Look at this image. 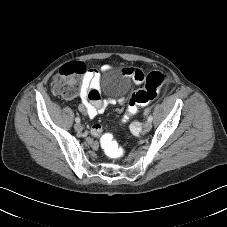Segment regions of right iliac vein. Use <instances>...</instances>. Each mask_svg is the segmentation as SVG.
I'll return each instance as SVG.
<instances>
[{"label":"right iliac vein","mask_w":227,"mask_h":227,"mask_svg":"<svg viewBox=\"0 0 227 227\" xmlns=\"http://www.w3.org/2000/svg\"><path fill=\"white\" fill-rule=\"evenodd\" d=\"M74 129H75V131H77V132H82V130H83V127H82V125L81 124H79V123H76L75 125H74Z\"/></svg>","instance_id":"63e3f726"}]
</instances>
